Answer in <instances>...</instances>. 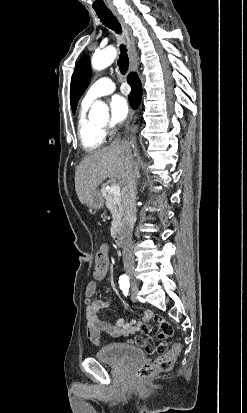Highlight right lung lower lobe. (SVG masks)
<instances>
[{"instance_id":"98d812e1","label":"right lung lower lobe","mask_w":247,"mask_h":413,"mask_svg":"<svg viewBox=\"0 0 247 413\" xmlns=\"http://www.w3.org/2000/svg\"><path fill=\"white\" fill-rule=\"evenodd\" d=\"M128 83L131 86V93L129 95V102L132 108H137L141 101L142 87L138 76L135 73L129 74L127 78Z\"/></svg>"}]
</instances>
